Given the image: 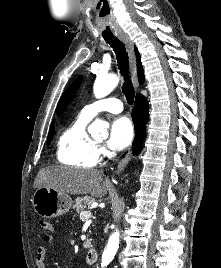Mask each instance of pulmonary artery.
Listing matches in <instances>:
<instances>
[{"mask_svg": "<svg viewBox=\"0 0 221 268\" xmlns=\"http://www.w3.org/2000/svg\"><path fill=\"white\" fill-rule=\"evenodd\" d=\"M123 110V104L119 99L116 98H106L103 100H99L96 102H93L89 105H86L81 113L92 119L95 117L98 113L106 111L111 113H120Z\"/></svg>", "mask_w": 221, "mask_h": 268, "instance_id": "pulmonary-artery-1", "label": "pulmonary artery"}]
</instances>
